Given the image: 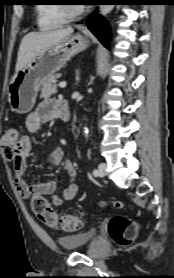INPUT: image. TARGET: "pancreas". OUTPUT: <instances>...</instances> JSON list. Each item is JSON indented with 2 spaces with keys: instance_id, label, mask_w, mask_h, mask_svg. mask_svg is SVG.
<instances>
[{
  "instance_id": "cf45deb5",
  "label": "pancreas",
  "mask_w": 174,
  "mask_h": 278,
  "mask_svg": "<svg viewBox=\"0 0 174 278\" xmlns=\"http://www.w3.org/2000/svg\"><path fill=\"white\" fill-rule=\"evenodd\" d=\"M59 77L60 74L54 75L43 83L40 94L41 98H48L57 93L56 79Z\"/></svg>"
}]
</instances>
